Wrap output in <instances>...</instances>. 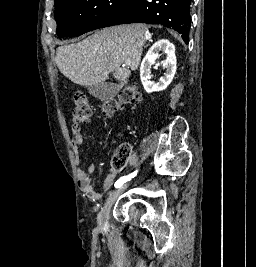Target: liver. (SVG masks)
I'll return each instance as SVG.
<instances>
[{
	"label": "liver",
	"instance_id": "obj_1",
	"mask_svg": "<svg viewBox=\"0 0 256 267\" xmlns=\"http://www.w3.org/2000/svg\"><path fill=\"white\" fill-rule=\"evenodd\" d=\"M147 32L145 24H122L99 30L78 44L59 46L55 58L57 68L80 86L102 84L111 72L121 82L120 86H124L131 70H137L141 62Z\"/></svg>",
	"mask_w": 256,
	"mask_h": 267
}]
</instances>
